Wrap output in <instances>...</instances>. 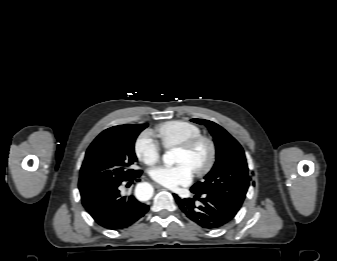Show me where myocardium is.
<instances>
[{"label":"myocardium","mask_w":337,"mask_h":261,"mask_svg":"<svg viewBox=\"0 0 337 261\" xmlns=\"http://www.w3.org/2000/svg\"><path fill=\"white\" fill-rule=\"evenodd\" d=\"M206 144L209 149V157L205 165L200 168H196L193 170L195 175L197 176H204L208 174L212 168L214 167L217 159V147L214 140L211 137L205 135H199L193 137L179 145V148L186 151L191 152L195 150L199 145Z\"/></svg>","instance_id":"1"}]
</instances>
